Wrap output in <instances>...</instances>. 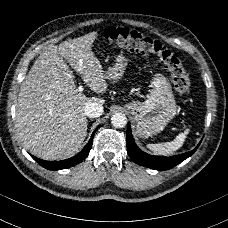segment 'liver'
<instances>
[{"label": "liver", "mask_w": 228, "mask_h": 228, "mask_svg": "<svg viewBox=\"0 0 228 228\" xmlns=\"http://www.w3.org/2000/svg\"><path fill=\"white\" fill-rule=\"evenodd\" d=\"M97 32L49 45L34 62L21 83L16 110V127L23 146L43 160L66 159L79 151L87 135V98L74 82L69 65L90 89L104 93L105 73L91 46ZM69 63V65L67 64Z\"/></svg>", "instance_id": "1"}]
</instances>
